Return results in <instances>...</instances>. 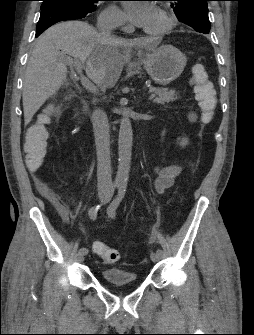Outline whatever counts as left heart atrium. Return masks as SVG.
Instances as JSON below:
<instances>
[{
	"mask_svg": "<svg viewBox=\"0 0 254 335\" xmlns=\"http://www.w3.org/2000/svg\"><path fill=\"white\" fill-rule=\"evenodd\" d=\"M124 9L128 20L136 27L149 31L155 9L148 1H127Z\"/></svg>",
	"mask_w": 254,
	"mask_h": 335,
	"instance_id": "obj_1",
	"label": "left heart atrium"
}]
</instances>
